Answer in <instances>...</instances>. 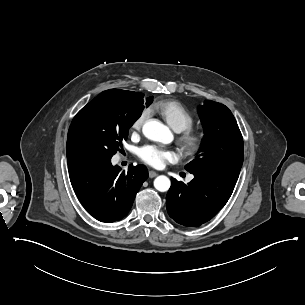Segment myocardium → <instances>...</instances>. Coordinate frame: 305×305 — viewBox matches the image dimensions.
<instances>
[{"label":"myocardium","mask_w":305,"mask_h":305,"mask_svg":"<svg viewBox=\"0 0 305 305\" xmlns=\"http://www.w3.org/2000/svg\"><path fill=\"white\" fill-rule=\"evenodd\" d=\"M180 144L185 154L195 156L201 152L205 145V136L195 129L183 131L179 137Z\"/></svg>","instance_id":"1"}]
</instances>
